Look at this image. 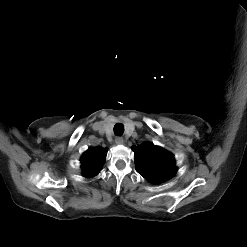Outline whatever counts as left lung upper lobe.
Listing matches in <instances>:
<instances>
[{"label":"left lung upper lobe","mask_w":247,"mask_h":247,"mask_svg":"<svg viewBox=\"0 0 247 247\" xmlns=\"http://www.w3.org/2000/svg\"><path fill=\"white\" fill-rule=\"evenodd\" d=\"M136 171L146 180L161 183L172 178L177 168L174 156L153 143H144L132 147Z\"/></svg>","instance_id":"left-lung-upper-lobe-1"}]
</instances>
